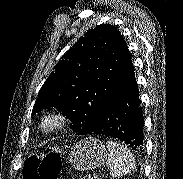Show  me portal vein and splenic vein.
<instances>
[{
    "mask_svg": "<svg viewBox=\"0 0 183 179\" xmlns=\"http://www.w3.org/2000/svg\"><path fill=\"white\" fill-rule=\"evenodd\" d=\"M89 179H100V178H99V175H96V176H94V177L89 176Z\"/></svg>",
    "mask_w": 183,
    "mask_h": 179,
    "instance_id": "1",
    "label": "portal vein and splenic vein"
}]
</instances>
